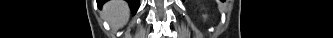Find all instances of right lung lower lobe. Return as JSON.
<instances>
[{"instance_id":"1","label":"right lung lower lobe","mask_w":333,"mask_h":38,"mask_svg":"<svg viewBox=\"0 0 333 38\" xmlns=\"http://www.w3.org/2000/svg\"><path fill=\"white\" fill-rule=\"evenodd\" d=\"M130 4V7L132 8V10L135 12L138 7H139V0H127ZM105 2V0L103 1H98V5L102 6V4Z\"/></svg>"}]
</instances>
